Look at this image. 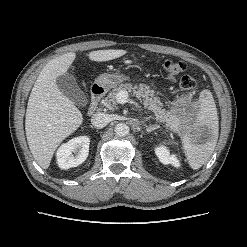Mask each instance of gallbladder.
Instances as JSON below:
<instances>
[{
  "label": "gallbladder",
  "instance_id": "1",
  "mask_svg": "<svg viewBox=\"0 0 247 247\" xmlns=\"http://www.w3.org/2000/svg\"><path fill=\"white\" fill-rule=\"evenodd\" d=\"M59 90L68 97L75 105L85 107L88 99L85 93L79 88L76 79L70 73L60 75L56 79Z\"/></svg>",
  "mask_w": 247,
  "mask_h": 247
}]
</instances>
